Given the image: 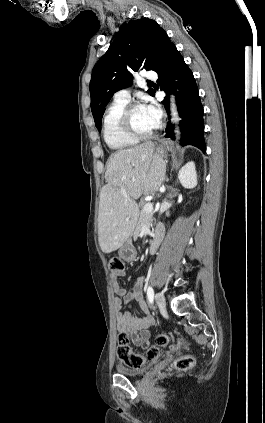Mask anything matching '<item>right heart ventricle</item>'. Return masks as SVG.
<instances>
[{
    "label": "right heart ventricle",
    "mask_w": 265,
    "mask_h": 423,
    "mask_svg": "<svg viewBox=\"0 0 265 423\" xmlns=\"http://www.w3.org/2000/svg\"><path fill=\"white\" fill-rule=\"evenodd\" d=\"M128 102L114 100L106 109L103 118V137L114 151H122L137 145L138 140L126 135L120 127V115Z\"/></svg>",
    "instance_id": "right-heart-ventricle-1"
}]
</instances>
